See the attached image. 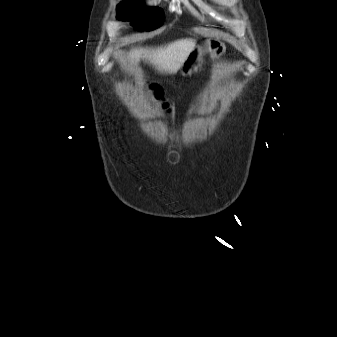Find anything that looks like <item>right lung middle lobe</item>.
Instances as JSON below:
<instances>
[{"label":"right lung middle lobe","mask_w":337,"mask_h":337,"mask_svg":"<svg viewBox=\"0 0 337 337\" xmlns=\"http://www.w3.org/2000/svg\"><path fill=\"white\" fill-rule=\"evenodd\" d=\"M117 18L131 20L130 24L138 31H151L162 25L164 14L160 8L142 9L139 0H126L118 5Z\"/></svg>","instance_id":"1"}]
</instances>
